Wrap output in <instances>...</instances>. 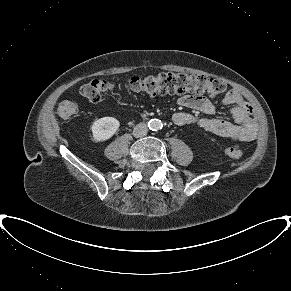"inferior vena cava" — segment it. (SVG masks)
I'll return each instance as SVG.
<instances>
[{
	"instance_id": "1",
	"label": "inferior vena cava",
	"mask_w": 291,
	"mask_h": 291,
	"mask_svg": "<svg viewBox=\"0 0 291 291\" xmlns=\"http://www.w3.org/2000/svg\"><path fill=\"white\" fill-rule=\"evenodd\" d=\"M148 127L146 123H139L133 130V135L137 138H141L147 135Z\"/></svg>"
}]
</instances>
